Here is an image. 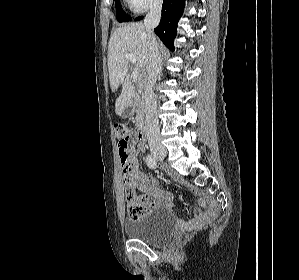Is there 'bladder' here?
<instances>
[{
    "mask_svg": "<svg viewBox=\"0 0 299 280\" xmlns=\"http://www.w3.org/2000/svg\"><path fill=\"white\" fill-rule=\"evenodd\" d=\"M125 234L135 240H140L149 245H161L173 235L176 219L166 210H153L139 219L124 221Z\"/></svg>",
    "mask_w": 299,
    "mask_h": 280,
    "instance_id": "obj_1",
    "label": "bladder"
}]
</instances>
